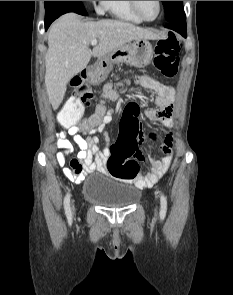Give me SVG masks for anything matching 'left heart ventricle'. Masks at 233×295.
Segmentation results:
<instances>
[{
  "instance_id": "b2bd125f",
  "label": "left heart ventricle",
  "mask_w": 233,
  "mask_h": 295,
  "mask_svg": "<svg viewBox=\"0 0 233 295\" xmlns=\"http://www.w3.org/2000/svg\"><path fill=\"white\" fill-rule=\"evenodd\" d=\"M137 2H138L139 10L145 18L152 19L156 16L157 10H158L157 1H137Z\"/></svg>"
}]
</instances>
